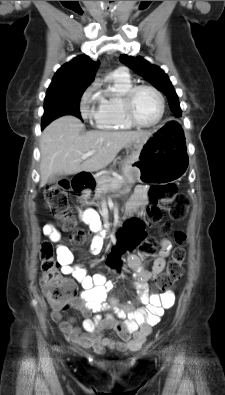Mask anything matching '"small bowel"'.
Returning <instances> with one entry per match:
<instances>
[{"instance_id":"small-bowel-1","label":"small bowel","mask_w":225,"mask_h":395,"mask_svg":"<svg viewBox=\"0 0 225 395\" xmlns=\"http://www.w3.org/2000/svg\"><path fill=\"white\" fill-rule=\"evenodd\" d=\"M147 204V186H137L135 193L126 206L129 215H134ZM80 219L87 224L95 236L92 239L90 252L97 255L103 248L104 236L101 233V220L98 213L92 209L83 210ZM43 233L51 241L58 243L57 258L61 272L70 275L80 284L82 291L79 296L70 301V306L81 311L85 320L82 332L76 328L71 320L62 321V310L53 309L51 317L60 323V329L67 334L70 340L78 346L93 348L96 352H103L106 348L138 350L156 325L166 309L171 308L175 302V295L171 291L162 293H149L148 283L155 280L164 270L167 257L172 249V242L163 238L160 249L153 260L150 269H146L139 256L129 255L127 265L132 270L133 284L138 290L142 307L120 304L110 295L114 282L107 279L104 274L88 275L80 265L73 264V255L69 248L62 243L61 233L53 223L43 227ZM110 308L121 319L117 321L113 315L102 316V309ZM91 314H95L90 317ZM105 329L113 330L118 340L105 337Z\"/></svg>"}]
</instances>
